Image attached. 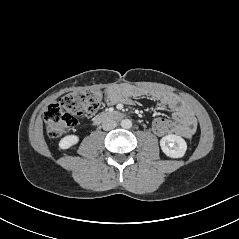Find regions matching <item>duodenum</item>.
<instances>
[{"instance_id":"duodenum-1","label":"duodenum","mask_w":239,"mask_h":239,"mask_svg":"<svg viewBox=\"0 0 239 239\" xmlns=\"http://www.w3.org/2000/svg\"><path fill=\"white\" fill-rule=\"evenodd\" d=\"M126 115L123 112L120 111H108L98 114L94 117L92 123L94 125H99L103 122H106L108 120H121L125 118Z\"/></svg>"}]
</instances>
